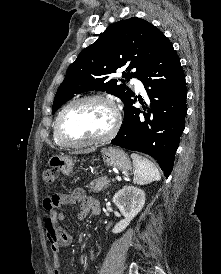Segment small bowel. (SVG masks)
<instances>
[{"label": "small bowel", "instance_id": "obj_1", "mask_svg": "<svg viewBox=\"0 0 221 274\" xmlns=\"http://www.w3.org/2000/svg\"><path fill=\"white\" fill-rule=\"evenodd\" d=\"M76 202H80V207L76 212L78 219H84L89 212L95 213V210H100V203L96 199L86 196L82 190L56 193L47 197L43 203L46 212L44 223L54 264L53 274H61L60 252L62 248L69 246L72 242L71 234L60 225V222L65 218V213L58 211V208L64 204ZM89 259L91 261L95 259L92 250H89Z\"/></svg>", "mask_w": 221, "mask_h": 274}]
</instances>
